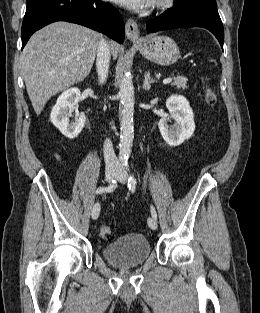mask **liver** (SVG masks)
I'll list each match as a JSON object with an SVG mask.
<instances>
[{"mask_svg": "<svg viewBox=\"0 0 260 313\" xmlns=\"http://www.w3.org/2000/svg\"><path fill=\"white\" fill-rule=\"evenodd\" d=\"M102 35L55 22L32 35L21 54L23 79L37 115L55 94L83 81L91 71ZM116 56L118 45L111 43Z\"/></svg>", "mask_w": 260, "mask_h": 313, "instance_id": "obj_1", "label": "liver"}]
</instances>
